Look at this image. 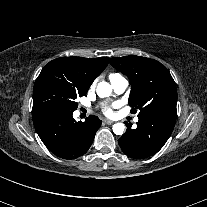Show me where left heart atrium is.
<instances>
[{"instance_id":"left-heart-atrium-1","label":"left heart atrium","mask_w":207,"mask_h":207,"mask_svg":"<svg viewBox=\"0 0 207 207\" xmlns=\"http://www.w3.org/2000/svg\"><path fill=\"white\" fill-rule=\"evenodd\" d=\"M105 114L106 115H111L112 114V109L111 108H107V109H105Z\"/></svg>"}]
</instances>
